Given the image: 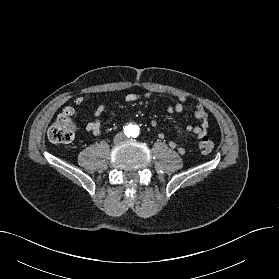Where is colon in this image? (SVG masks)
I'll return each mask as SVG.
<instances>
[{
	"label": "colon",
	"mask_w": 279,
	"mask_h": 279,
	"mask_svg": "<svg viewBox=\"0 0 279 279\" xmlns=\"http://www.w3.org/2000/svg\"><path fill=\"white\" fill-rule=\"evenodd\" d=\"M74 113V108L68 107L57 116L48 130V138L51 142L66 144L75 139ZM198 149L202 154H209L213 149V142L208 136H203L198 142Z\"/></svg>",
	"instance_id": "5ec220e1"
}]
</instances>
